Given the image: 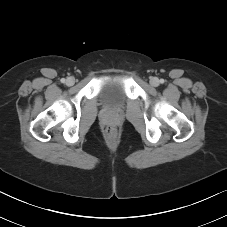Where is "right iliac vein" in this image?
Listing matches in <instances>:
<instances>
[{
    "label": "right iliac vein",
    "mask_w": 227,
    "mask_h": 227,
    "mask_svg": "<svg viewBox=\"0 0 227 227\" xmlns=\"http://www.w3.org/2000/svg\"><path fill=\"white\" fill-rule=\"evenodd\" d=\"M75 83V79L73 77H68L66 80V85L72 86Z\"/></svg>",
    "instance_id": "obj_1"
}]
</instances>
